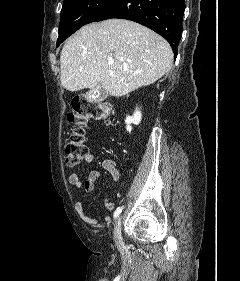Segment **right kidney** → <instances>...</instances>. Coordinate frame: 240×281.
<instances>
[{"instance_id": "obj_1", "label": "right kidney", "mask_w": 240, "mask_h": 281, "mask_svg": "<svg viewBox=\"0 0 240 281\" xmlns=\"http://www.w3.org/2000/svg\"><path fill=\"white\" fill-rule=\"evenodd\" d=\"M141 119H142V114H141V111L138 109H136V111L134 112V114L132 116H127L125 119L127 131L131 132V130H132L131 124L138 125L141 122Z\"/></svg>"}]
</instances>
